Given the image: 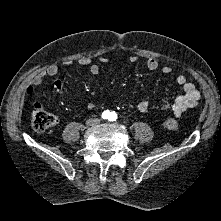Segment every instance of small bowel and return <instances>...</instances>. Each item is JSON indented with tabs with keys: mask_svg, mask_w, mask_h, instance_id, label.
<instances>
[{
	"mask_svg": "<svg viewBox=\"0 0 221 221\" xmlns=\"http://www.w3.org/2000/svg\"><path fill=\"white\" fill-rule=\"evenodd\" d=\"M100 61L102 63H108L109 60L106 57H101ZM131 62H136L137 58L132 56L130 58ZM69 64V61L67 62ZM78 63L82 66H88L89 71L92 75H96L99 73V66L97 64L92 63L91 59L88 57H81L78 60ZM144 64L147 69L151 71H155L160 69L164 75H171L173 70L168 65H160V63L153 57H147L144 61ZM58 74V66L55 64L49 65L47 68L39 72L34 79L30 82V84L26 87V94L33 95L38 87H40L47 77H54ZM176 84L182 87L183 93L178 95L172 103H160L158 105L161 109H170L174 113V115L179 116L189 108H192L197 105L200 99V92L195 87L194 83L189 81L187 77L182 74H176L174 77ZM52 86L56 92L61 95H64V85L63 82L59 79H56L52 82ZM40 106V103H34V107ZM93 104H89V108H93ZM152 105L150 102L146 100H142L137 104V108L141 112H146L151 109Z\"/></svg>",
	"mask_w": 221,
	"mask_h": 221,
	"instance_id": "obj_1",
	"label": "small bowel"
}]
</instances>
